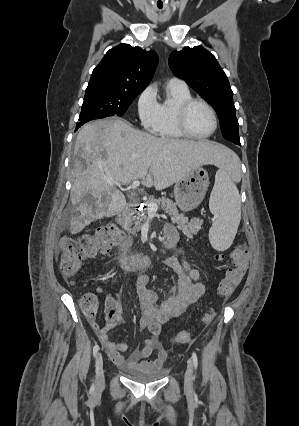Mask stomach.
I'll return each instance as SVG.
<instances>
[{
	"instance_id": "obj_1",
	"label": "stomach",
	"mask_w": 299,
	"mask_h": 426,
	"mask_svg": "<svg viewBox=\"0 0 299 426\" xmlns=\"http://www.w3.org/2000/svg\"><path fill=\"white\" fill-rule=\"evenodd\" d=\"M209 186L208 173L202 167L192 170L176 182L174 197L178 207L188 212L195 209L204 199Z\"/></svg>"
}]
</instances>
